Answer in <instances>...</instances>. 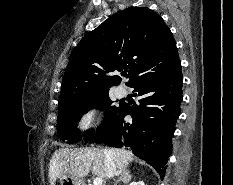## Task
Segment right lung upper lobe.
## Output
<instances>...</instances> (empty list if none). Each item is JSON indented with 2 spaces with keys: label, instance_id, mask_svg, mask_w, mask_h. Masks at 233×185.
I'll return each instance as SVG.
<instances>
[{
  "label": "right lung upper lobe",
  "instance_id": "obj_1",
  "mask_svg": "<svg viewBox=\"0 0 233 185\" xmlns=\"http://www.w3.org/2000/svg\"><path fill=\"white\" fill-rule=\"evenodd\" d=\"M179 58L169 27L153 10L129 8L105 20L74 48L62 81L59 107L108 91L129 69L130 85L147 71Z\"/></svg>",
  "mask_w": 233,
  "mask_h": 185
}]
</instances>
